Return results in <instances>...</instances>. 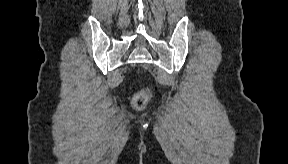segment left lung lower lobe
<instances>
[{
    "label": "left lung lower lobe",
    "mask_w": 288,
    "mask_h": 164,
    "mask_svg": "<svg viewBox=\"0 0 288 164\" xmlns=\"http://www.w3.org/2000/svg\"><path fill=\"white\" fill-rule=\"evenodd\" d=\"M258 82L260 86L254 88L253 84ZM249 90L247 91V96L250 97L253 101H257L261 98L262 88L266 85V76L262 72H250L249 73Z\"/></svg>",
    "instance_id": "1"
}]
</instances>
